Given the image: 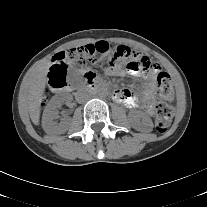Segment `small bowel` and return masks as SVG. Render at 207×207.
Masks as SVG:
<instances>
[{"mask_svg": "<svg viewBox=\"0 0 207 207\" xmlns=\"http://www.w3.org/2000/svg\"><path fill=\"white\" fill-rule=\"evenodd\" d=\"M126 72L131 75L143 74L140 70L131 71L127 67L126 70L120 67H112L108 69V74L112 76H122ZM154 96V86L152 84L143 86L141 98L135 96L129 89H115L113 91V98L115 101L123 103L129 108H135L140 102H142L146 112L149 114H152L154 110Z\"/></svg>", "mask_w": 207, "mask_h": 207, "instance_id": "obj_1", "label": "small bowel"}]
</instances>
